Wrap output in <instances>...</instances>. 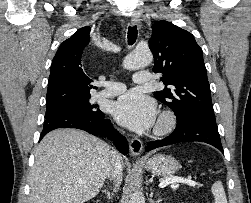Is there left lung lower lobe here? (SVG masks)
Listing matches in <instances>:
<instances>
[{
  "label": "left lung lower lobe",
  "instance_id": "left-lung-lower-lobe-1",
  "mask_svg": "<svg viewBox=\"0 0 251 203\" xmlns=\"http://www.w3.org/2000/svg\"><path fill=\"white\" fill-rule=\"evenodd\" d=\"M192 141L208 143L223 152L216 122L202 118H193L183 124H177L173 133L166 138L149 142L146 151L175 143Z\"/></svg>",
  "mask_w": 251,
  "mask_h": 203
}]
</instances>
